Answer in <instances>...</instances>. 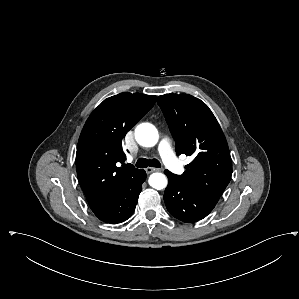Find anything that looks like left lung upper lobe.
I'll list each match as a JSON object with an SVG mask.
<instances>
[{
  "label": "left lung upper lobe",
  "instance_id": "1",
  "mask_svg": "<svg viewBox=\"0 0 299 299\" xmlns=\"http://www.w3.org/2000/svg\"><path fill=\"white\" fill-rule=\"evenodd\" d=\"M177 155L192 156L181 183L217 203L230 182L232 160L222 129L208 106L191 95L166 94L158 97Z\"/></svg>",
  "mask_w": 299,
  "mask_h": 299
}]
</instances>
